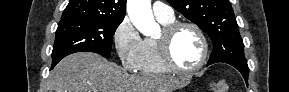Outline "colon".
<instances>
[{"instance_id": "5ec220e1", "label": "colon", "mask_w": 289, "mask_h": 92, "mask_svg": "<svg viewBox=\"0 0 289 92\" xmlns=\"http://www.w3.org/2000/svg\"><path fill=\"white\" fill-rule=\"evenodd\" d=\"M211 88L213 92H228L229 84L226 80L221 79L213 82Z\"/></svg>"}]
</instances>
